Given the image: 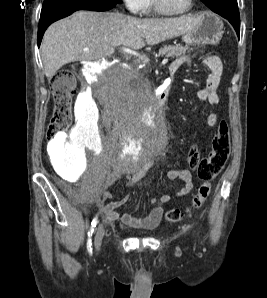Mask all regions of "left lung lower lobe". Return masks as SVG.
I'll return each instance as SVG.
<instances>
[{
    "instance_id": "1",
    "label": "left lung lower lobe",
    "mask_w": 267,
    "mask_h": 298,
    "mask_svg": "<svg viewBox=\"0 0 267 298\" xmlns=\"http://www.w3.org/2000/svg\"><path fill=\"white\" fill-rule=\"evenodd\" d=\"M217 14L226 18L233 25L238 36L240 35V16L238 8H232L231 10H228L226 13L219 12Z\"/></svg>"
}]
</instances>
